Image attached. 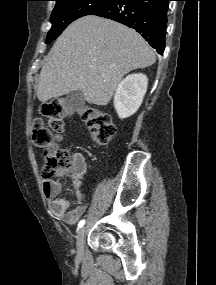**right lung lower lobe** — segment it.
<instances>
[{"instance_id":"obj_1","label":"right lung lower lobe","mask_w":216,"mask_h":285,"mask_svg":"<svg viewBox=\"0 0 216 285\" xmlns=\"http://www.w3.org/2000/svg\"><path fill=\"white\" fill-rule=\"evenodd\" d=\"M168 1L112 0L89 15H97L134 28L162 55L165 48Z\"/></svg>"}]
</instances>
